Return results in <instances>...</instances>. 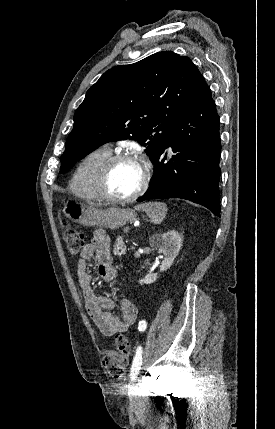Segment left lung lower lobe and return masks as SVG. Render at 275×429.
<instances>
[{
  "instance_id": "0a47b994",
  "label": "left lung lower lobe",
  "mask_w": 275,
  "mask_h": 429,
  "mask_svg": "<svg viewBox=\"0 0 275 429\" xmlns=\"http://www.w3.org/2000/svg\"><path fill=\"white\" fill-rule=\"evenodd\" d=\"M219 126L210 88L200 75L187 107L152 161L155 169L153 179L138 201L183 198L220 216ZM169 146L173 155L166 161L165 150Z\"/></svg>"
}]
</instances>
